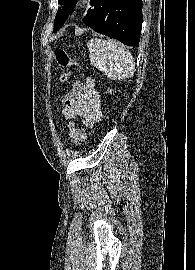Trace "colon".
Masks as SVG:
<instances>
[{
  "mask_svg": "<svg viewBox=\"0 0 195 270\" xmlns=\"http://www.w3.org/2000/svg\"><path fill=\"white\" fill-rule=\"evenodd\" d=\"M55 59L62 69V73L60 75V82L67 83L69 79L70 70L77 66V62L69 55V53L62 49L57 48L55 50ZM81 94V83L72 82L71 90L67 93L64 98L65 105H70L74 103ZM74 138L77 143L84 142L87 138L86 132L81 127H75L74 129Z\"/></svg>",
  "mask_w": 195,
  "mask_h": 270,
  "instance_id": "colon-1",
  "label": "colon"
}]
</instances>
